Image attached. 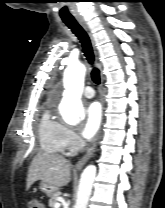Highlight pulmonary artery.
Masks as SVG:
<instances>
[{
	"mask_svg": "<svg viewBox=\"0 0 165 208\" xmlns=\"http://www.w3.org/2000/svg\"><path fill=\"white\" fill-rule=\"evenodd\" d=\"M82 95L85 97V98H93L95 96V91L93 89V87L91 86H85L83 91H82Z\"/></svg>",
	"mask_w": 165,
	"mask_h": 208,
	"instance_id": "obj_1",
	"label": "pulmonary artery"
}]
</instances>
